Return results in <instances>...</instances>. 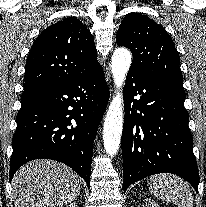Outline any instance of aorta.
<instances>
[{"instance_id": "obj_1", "label": "aorta", "mask_w": 206, "mask_h": 207, "mask_svg": "<svg viewBox=\"0 0 206 207\" xmlns=\"http://www.w3.org/2000/svg\"><path fill=\"white\" fill-rule=\"evenodd\" d=\"M131 61V53L125 48L116 49L112 55V75L118 90L110 103L103 127L104 148L110 156L116 155L120 146L123 129V99L120 89L124 84Z\"/></svg>"}]
</instances>
